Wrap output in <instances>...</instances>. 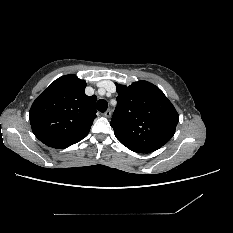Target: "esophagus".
<instances>
[{
  "label": "esophagus",
  "instance_id": "obj_1",
  "mask_svg": "<svg viewBox=\"0 0 233 233\" xmlns=\"http://www.w3.org/2000/svg\"><path fill=\"white\" fill-rule=\"evenodd\" d=\"M111 114H112L111 110H107V111H105L102 115H103L104 117L110 118V117H111Z\"/></svg>",
  "mask_w": 233,
  "mask_h": 233
}]
</instances>
